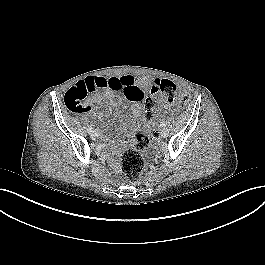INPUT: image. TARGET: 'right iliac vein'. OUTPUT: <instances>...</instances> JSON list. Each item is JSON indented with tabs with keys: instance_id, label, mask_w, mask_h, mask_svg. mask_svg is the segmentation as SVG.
<instances>
[{
	"instance_id": "right-iliac-vein-1",
	"label": "right iliac vein",
	"mask_w": 265,
	"mask_h": 265,
	"mask_svg": "<svg viewBox=\"0 0 265 265\" xmlns=\"http://www.w3.org/2000/svg\"><path fill=\"white\" fill-rule=\"evenodd\" d=\"M98 137H99L98 132L95 131V132H92V133H91V138H92V139H97Z\"/></svg>"
}]
</instances>
